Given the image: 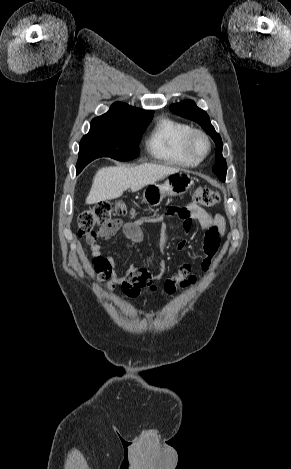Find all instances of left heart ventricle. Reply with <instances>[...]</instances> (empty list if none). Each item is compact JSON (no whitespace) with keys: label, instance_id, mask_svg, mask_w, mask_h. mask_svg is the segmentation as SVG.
<instances>
[{"label":"left heart ventricle","instance_id":"1","mask_svg":"<svg viewBox=\"0 0 291 469\" xmlns=\"http://www.w3.org/2000/svg\"><path fill=\"white\" fill-rule=\"evenodd\" d=\"M195 148H196L197 152L203 153L206 149V144H205L204 140H202L200 138L197 139L196 143H195Z\"/></svg>","mask_w":291,"mask_h":469}]
</instances>
